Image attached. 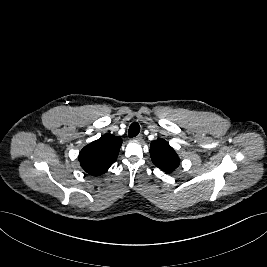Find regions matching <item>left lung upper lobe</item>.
Segmentation results:
<instances>
[{"instance_id":"obj_1","label":"left lung upper lobe","mask_w":267,"mask_h":267,"mask_svg":"<svg viewBox=\"0 0 267 267\" xmlns=\"http://www.w3.org/2000/svg\"><path fill=\"white\" fill-rule=\"evenodd\" d=\"M150 155L153 164L167 173L174 171L180 164L177 153L164 139H157L151 143Z\"/></svg>"}]
</instances>
